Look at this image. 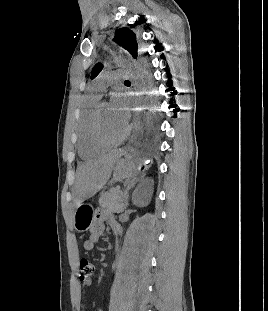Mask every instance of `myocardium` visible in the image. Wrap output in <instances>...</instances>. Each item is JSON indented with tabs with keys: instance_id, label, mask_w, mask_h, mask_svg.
<instances>
[{
	"instance_id": "f54148a6",
	"label": "myocardium",
	"mask_w": 268,
	"mask_h": 311,
	"mask_svg": "<svg viewBox=\"0 0 268 311\" xmlns=\"http://www.w3.org/2000/svg\"><path fill=\"white\" fill-rule=\"evenodd\" d=\"M104 104H105L104 102H101L95 108V111L93 113L92 120H91V134L96 144L104 148H109V147H113V146H117L121 144L128 137L130 133V126L126 125L123 134L119 138L114 139V140L107 139L102 134L101 126H100L102 107Z\"/></svg>"
}]
</instances>
